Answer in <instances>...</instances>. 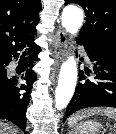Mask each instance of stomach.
Returning a JSON list of instances; mask_svg holds the SVG:
<instances>
[{
  "label": "stomach",
  "mask_w": 116,
  "mask_h": 134,
  "mask_svg": "<svg viewBox=\"0 0 116 134\" xmlns=\"http://www.w3.org/2000/svg\"><path fill=\"white\" fill-rule=\"evenodd\" d=\"M101 128L97 121H85L72 126L71 134H96Z\"/></svg>",
  "instance_id": "stomach-1"
}]
</instances>
